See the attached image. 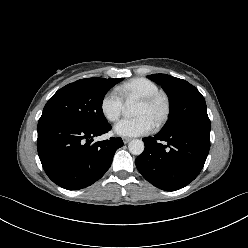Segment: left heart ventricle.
I'll use <instances>...</instances> for the list:
<instances>
[{
	"mask_svg": "<svg viewBox=\"0 0 248 248\" xmlns=\"http://www.w3.org/2000/svg\"><path fill=\"white\" fill-rule=\"evenodd\" d=\"M163 110L164 107L162 103L156 104L154 106H146L141 103H138L134 114L136 116H145L154 125L155 122L161 117Z\"/></svg>",
	"mask_w": 248,
	"mask_h": 248,
	"instance_id": "1",
	"label": "left heart ventricle"
}]
</instances>
